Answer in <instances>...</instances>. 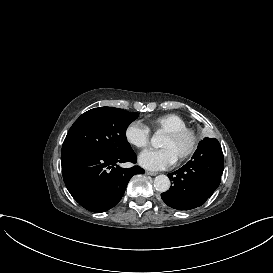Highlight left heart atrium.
I'll return each mask as SVG.
<instances>
[{
	"mask_svg": "<svg viewBox=\"0 0 273 273\" xmlns=\"http://www.w3.org/2000/svg\"><path fill=\"white\" fill-rule=\"evenodd\" d=\"M176 160L168 148L146 149L140 153L138 158L139 164L148 170H159L169 167Z\"/></svg>",
	"mask_w": 273,
	"mask_h": 273,
	"instance_id": "left-heart-atrium-1",
	"label": "left heart atrium"
}]
</instances>
